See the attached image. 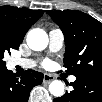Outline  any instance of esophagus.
<instances>
[{
    "label": "esophagus",
    "mask_w": 102,
    "mask_h": 102,
    "mask_svg": "<svg viewBox=\"0 0 102 102\" xmlns=\"http://www.w3.org/2000/svg\"><path fill=\"white\" fill-rule=\"evenodd\" d=\"M54 79H55V77L52 74L45 73L43 76V83L48 84Z\"/></svg>",
    "instance_id": "1"
}]
</instances>
